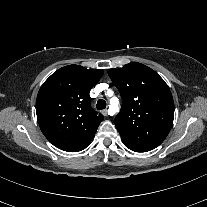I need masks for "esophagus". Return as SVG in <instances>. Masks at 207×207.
I'll list each match as a JSON object with an SVG mask.
<instances>
[{"label": "esophagus", "instance_id": "1", "mask_svg": "<svg viewBox=\"0 0 207 207\" xmlns=\"http://www.w3.org/2000/svg\"><path fill=\"white\" fill-rule=\"evenodd\" d=\"M102 113L104 114V116H108V110H107V109H104V110L102 111Z\"/></svg>", "mask_w": 207, "mask_h": 207}]
</instances>
